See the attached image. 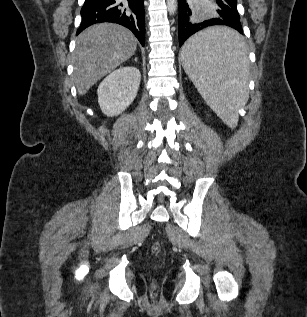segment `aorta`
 Returning a JSON list of instances; mask_svg holds the SVG:
<instances>
[{
	"instance_id": "762f6f07",
	"label": "aorta",
	"mask_w": 307,
	"mask_h": 317,
	"mask_svg": "<svg viewBox=\"0 0 307 317\" xmlns=\"http://www.w3.org/2000/svg\"><path fill=\"white\" fill-rule=\"evenodd\" d=\"M166 2H167V9L169 14L174 15L178 6L177 0H166Z\"/></svg>"
}]
</instances>
